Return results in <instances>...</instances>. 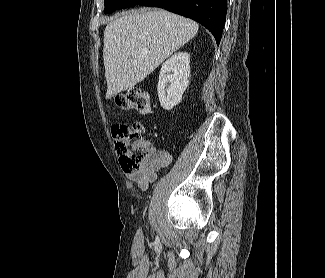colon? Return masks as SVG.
Returning a JSON list of instances; mask_svg holds the SVG:
<instances>
[{"mask_svg":"<svg viewBox=\"0 0 325 278\" xmlns=\"http://www.w3.org/2000/svg\"><path fill=\"white\" fill-rule=\"evenodd\" d=\"M115 103L121 110L136 111L141 115L150 114L152 109L149 96L138 88L118 94ZM111 131L122 168L128 172L139 171L150 155L148 143L142 140V126L119 123L113 125Z\"/></svg>","mask_w":325,"mask_h":278,"instance_id":"colon-1","label":"colon"}]
</instances>
